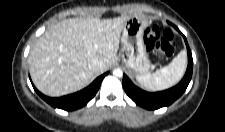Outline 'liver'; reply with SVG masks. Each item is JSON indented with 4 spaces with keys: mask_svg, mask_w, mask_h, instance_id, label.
I'll use <instances>...</instances> for the list:
<instances>
[{
    "mask_svg": "<svg viewBox=\"0 0 225 132\" xmlns=\"http://www.w3.org/2000/svg\"><path fill=\"white\" fill-rule=\"evenodd\" d=\"M129 18H71L51 26L28 57L36 88L51 97L63 96L82 89L99 75L89 68L92 60L103 61L104 71L109 69L117 59L121 31Z\"/></svg>",
    "mask_w": 225,
    "mask_h": 132,
    "instance_id": "obj_1",
    "label": "liver"
}]
</instances>
